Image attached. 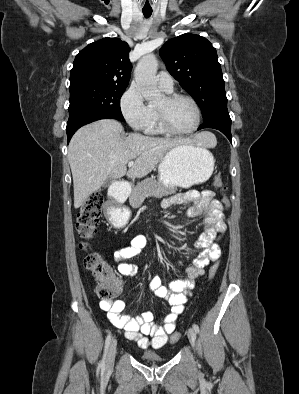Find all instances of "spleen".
Returning <instances> with one entry per match:
<instances>
[{"label": "spleen", "mask_w": 299, "mask_h": 394, "mask_svg": "<svg viewBox=\"0 0 299 394\" xmlns=\"http://www.w3.org/2000/svg\"><path fill=\"white\" fill-rule=\"evenodd\" d=\"M209 135H210V138H209V140L207 142V146L212 147L214 145L216 139H215V137L212 134L209 133Z\"/></svg>", "instance_id": "1"}]
</instances>
